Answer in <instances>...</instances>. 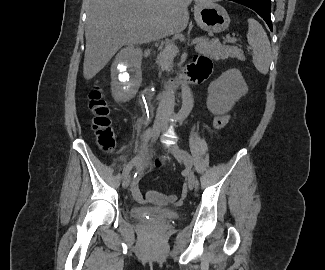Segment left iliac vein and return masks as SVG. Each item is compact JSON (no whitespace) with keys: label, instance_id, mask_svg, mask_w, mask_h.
<instances>
[{"label":"left iliac vein","instance_id":"4c4485c4","mask_svg":"<svg viewBox=\"0 0 325 270\" xmlns=\"http://www.w3.org/2000/svg\"><path fill=\"white\" fill-rule=\"evenodd\" d=\"M169 151L179 160L184 162L187 171H188V178H187V183H188V188L192 190L195 187L196 184V178H195V173L192 169V164L190 159L186 157V155L183 153V151L180 149L178 145H171L169 147Z\"/></svg>","mask_w":325,"mask_h":270}]
</instances>
